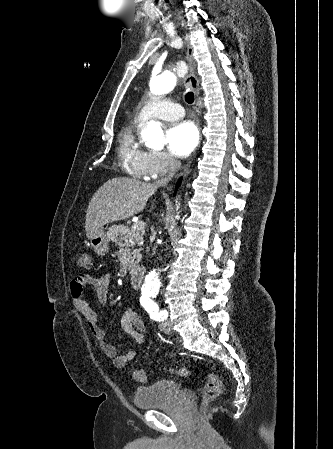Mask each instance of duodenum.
Wrapping results in <instances>:
<instances>
[{
  "mask_svg": "<svg viewBox=\"0 0 333 449\" xmlns=\"http://www.w3.org/2000/svg\"><path fill=\"white\" fill-rule=\"evenodd\" d=\"M143 271L139 268L133 269L130 272V284L133 289L138 290L141 287L143 280Z\"/></svg>",
  "mask_w": 333,
  "mask_h": 449,
  "instance_id": "410a0bca",
  "label": "duodenum"
}]
</instances>
